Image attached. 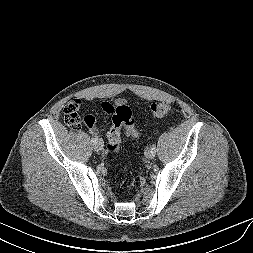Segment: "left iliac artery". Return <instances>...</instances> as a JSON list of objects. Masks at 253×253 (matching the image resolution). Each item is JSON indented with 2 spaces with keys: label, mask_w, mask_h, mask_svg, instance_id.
Masks as SVG:
<instances>
[{
  "label": "left iliac artery",
  "mask_w": 253,
  "mask_h": 253,
  "mask_svg": "<svg viewBox=\"0 0 253 253\" xmlns=\"http://www.w3.org/2000/svg\"><path fill=\"white\" fill-rule=\"evenodd\" d=\"M151 150H153V151H155V152H156V150H157V149H156V147H155V146H152V147H151Z\"/></svg>",
  "instance_id": "44dca946"
}]
</instances>
